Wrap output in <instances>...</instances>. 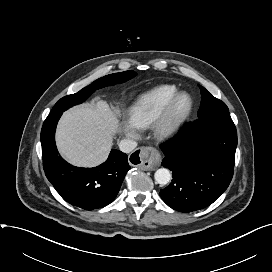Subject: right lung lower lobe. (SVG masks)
<instances>
[{"label":"right lung lower lobe","mask_w":272,"mask_h":272,"mask_svg":"<svg viewBox=\"0 0 272 272\" xmlns=\"http://www.w3.org/2000/svg\"><path fill=\"white\" fill-rule=\"evenodd\" d=\"M62 113L48 115L41 130L46 177L71 205L86 210L102 208L114 200L130 169L127 155L119 150H111L106 162L97 167L80 168L70 165L59 156L55 144L56 125Z\"/></svg>","instance_id":"1"}]
</instances>
